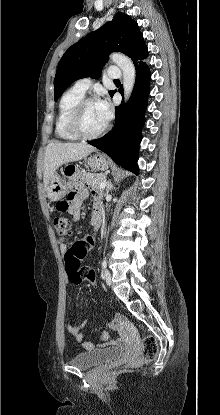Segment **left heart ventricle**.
<instances>
[{"instance_id": "1", "label": "left heart ventricle", "mask_w": 220, "mask_h": 415, "mask_svg": "<svg viewBox=\"0 0 220 415\" xmlns=\"http://www.w3.org/2000/svg\"><path fill=\"white\" fill-rule=\"evenodd\" d=\"M105 125L101 118L97 103L89 104L85 107L81 116V128L85 133L93 134Z\"/></svg>"}]
</instances>
